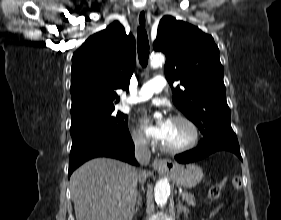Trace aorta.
I'll return each instance as SVG.
<instances>
[{"instance_id":"obj_1","label":"aorta","mask_w":281,"mask_h":220,"mask_svg":"<svg viewBox=\"0 0 281 220\" xmlns=\"http://www.w3.org/2000/svg\"><path fill=\"white\" fill-rule=\"evenodd\" d=\"M165 58L162 54H155L151 56L150 66L156 69L164 63ZM155 201L158 205H165L170 195V185L166 178L161 179L154 189Z\"/></svg>"}]
</instances>
